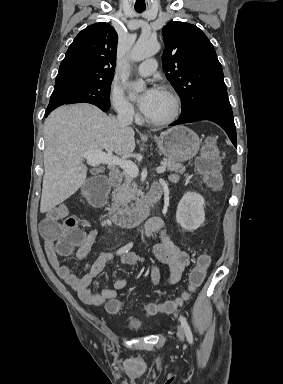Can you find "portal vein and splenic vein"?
I'll return each mask as SVG.
<instances>
[{
  "label": "portal vein and splenic vein",
  "instance_id": "obj_1",
  "mask_svg": "<svg viewBox=\"0 0 283 384\" xmlns=\"http://www.w3.org/2000/svg\"><path fill=\"white\" fill-rule=\"evenodd\" d=\"M83 158L87 160L88 164H108V166H120L121 170L131 176V178H137L139 170L131 160H121L117 156H111V154H105L102 150H87L85 154H82ZM165 166L157 168V174H163L165 172Z\"/></svg>",
  "mask_w": 283,
  "mask_h": 384
}]
</instances>
